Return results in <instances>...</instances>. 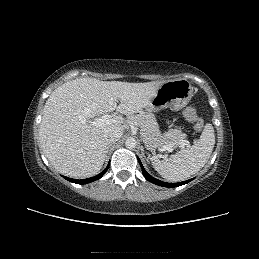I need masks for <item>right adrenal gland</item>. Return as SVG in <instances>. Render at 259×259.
I'll list each match as a JSON object with an SVG mask.
<instances>
[{
    "label": "right adrenal gland",
    "mask_w": 259,
    "mask_h": 259,
    "mask_svg": "<svg viewBox=\"0 0 259 259\" xmlns=\"http://www.w3.org/2000/svg\"><path fill=\"white\" fill-rule=\"evenodd\" d=\"M111 145H112V144H109V145H108V147H107V152H108V150H109V148H110Z\"/></svg>",
    "instance_id": "2a0ac1e0"
}]
</instances>
